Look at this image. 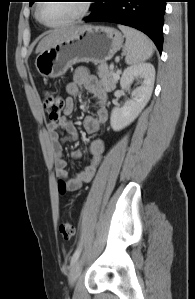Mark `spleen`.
<instances>
[{"label":"spleen","instance_id":"3e777b00","mask_svg":"<svg viewBox=\"0 0 195 299\" xmlns=\"http://www.w3.org/2000/svg\"><path fill=\"white\" fill-rule=\"evenodd\" d=\"M118 28L126 37L125 62L128 65L139 64L148 60L152 56L154 52V45L146 35L127 26L118 25Z\"/></svg>","mask_w":195,"mask_h":299}]
</instances>
